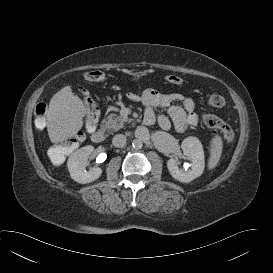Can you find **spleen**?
Wrapping results in <instances>:
<instances>
[{
  "label": "spleen",
  "mask_w": 273,
  "mask_h": 273,
  "mask_svg": "<svg viewBox=\"0 0 273 273\" xmlns=\"http://www.w3.org/2000/svg\"><path fill=\"white\" fill-rule=\"evenodd\" d=\"M223 149V141L219 135H215L210 142V158L208 168L213 169L217 166Z\"/></svg>",
  "instance_id": "1"
}]
</instances>
